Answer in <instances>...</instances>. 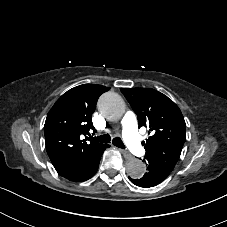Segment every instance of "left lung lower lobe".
<instances>
[{"label":"left lung lower lobe","mask_w":227,"mask_h":227,"mask_svg":"<svg viewBox=\"0 0 227 227\" xmlns=\"http://www.w3.org/2000/svg\"><path fill=\"white\" fill-rule=\"evenodd\" d=\"M148 166V171L140 179H131V182L140 187H153L161 183L171 171L153 161L143 160Z\"/></svg>","instance_id":"left-lung-lower-lobe-1"}]
</instances>
